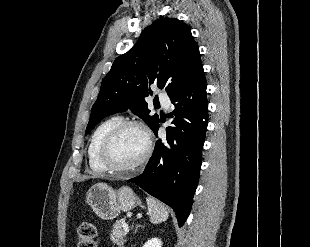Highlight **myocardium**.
Here are the masks:
<instances>
[{
	"instance_id": "1",
	"label": "myocardium",
	"mask_w": 310,
	"mask_h": 247,
	"mask_svg": "<svg viewBox=\"0 0 310 247\" xmlns=\"http://www.w3.org/2000/svg\"><path fill=\"white\" fill-rule=\"evenodd\" d=\"M134 127L140 129L146 140V147L142 156L132 165L118 167L111 163L109 154L111 146L116 137L126 128ZM152 152V138L148 128L141 122L135 120H121L105 136L99 148V161L105 170L111 174L121 175L134 172L144 166Z\"/></svg>"
}]
</instances>
